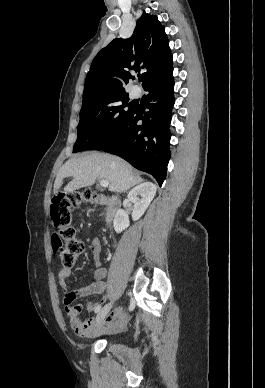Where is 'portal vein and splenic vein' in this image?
Instances as JSON below:
<instances>
[{
  "mask_svg": "<svg viewBox=\"0 0 265 388\" xmlns=\"http://www.w3.org/2000/svg\"><path fill=\"white\" fill-rule=\"evenodd\" d=\"M100 186H102V188H108L109 186L108 180H101Z\"/></svg>",
  "mask_w": 265,
  "mask_h": 388,
  "instance_id": "portal-vein-and-splenic-vein-1",
  "label": "portal vein and splenic vein"
}]
</instances>
